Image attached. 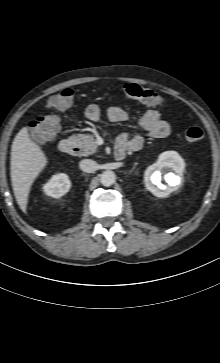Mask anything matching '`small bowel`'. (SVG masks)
<instances>
[{
  "mask_svg": "<svg viewBox=\"0 0 220 363\" xmlns=\"http://www.w3.org/2000/svg\"><path fill=\"white\" fill-rule=\"evenodd\" d=\"M102 114L101 107L97 104H90L85 110V116L97 121ZM107 118L112 122H125L130 119V115L120 107H109L106 110ZM138 124L152 138H164L170 133L169 123L162 118L161 113L157 109H149L137 119ZM144 145V137L142 135H130L128 133L121 134L117 139V147H123L130 151H137Z\"/></svg>",
  "mask_w": 220,
  "mask_h": 363,
  "instance_id": "obj_1",
  "label": "small bowel"
}]
</instances>
